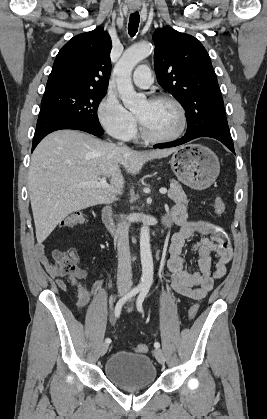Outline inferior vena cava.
<instances>
[{
    "label": "inferior vena cava",
    "instance_id": "1",
    "mask_svg": "<svg viewBox=\"0 0 267 419\" xmlns=\"http://www.w3.org/2000/svg\"><path fill=\"white\" fill-rule=\"evenodd\" d=\"M122 145V143H120ZM129 223L121 217L117 224L118 273L117 287L119 290H129L132 286V267L128 237Z\"/></svg>",
    "mask_w": 267,
    "mask_h": 419
}]
</instances>
